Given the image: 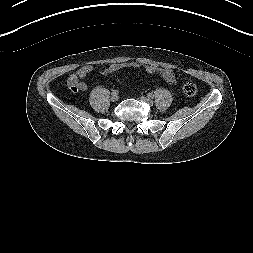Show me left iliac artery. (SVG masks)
I'll list each match as a JSON object with an SVG mask.
<instances>
[{"label": "left iliac artery", "mask_w": 253, "mask_h": 253, "mask_svg": "<svg viewBox=\"0 0 253 253\" xmlns=\"http://www.w3.org/2000/svg\"><path fill=\"white\" fill-rule=\"evenodd\" d=\"M148 97L153 98L154 95H153L152 93H149V94H148Z\"/></svg>", "instance_id": "44dca946"}]
</instances>
